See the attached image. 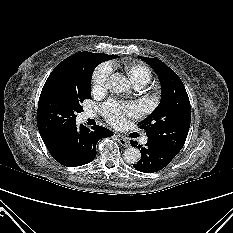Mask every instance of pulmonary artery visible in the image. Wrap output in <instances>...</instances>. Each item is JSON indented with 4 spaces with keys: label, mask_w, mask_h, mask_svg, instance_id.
I'll return each mask as SVG.
<instances>
[{
    "label": "pulmonary artery",
    "mask_w": 233,
    "mask_h": 233,
    "mask_svg": "<svg viewBox=\"0 0 233 233\" xmlns=\"http://www.w3.org/2000/svg\"><path fill=\"white\" fill-rule=\"evenodd\" d=\"M137 89L141 88V86H136ZM94 116V114L90 111L86 112L84 114V119H88V118H92ZM147 137H143L142 138V143L145 144L147 142Z\"/></svg>",
    "instance_id": "e3ab8cb5"
}]
</instances>
